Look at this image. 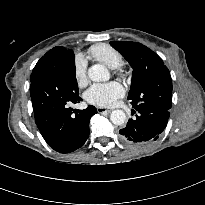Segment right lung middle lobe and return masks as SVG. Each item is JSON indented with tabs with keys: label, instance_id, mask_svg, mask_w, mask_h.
I'll list each match as a JSON object with an SVG mask.
<instances>
[{
	"label": "right lung middle lobe",
	"instance_id": "obj_1",
	"mask_svg": "<svg viewBox=\"0 0 205 205\" xmlns=\"http://www.w3.org/2000/svg\"><path fill=\"white\" fill-rule=\"evenodd\" d=\"M38 63V62H37ZM55 65L53 64V63H50V62H44V63H42V64H40L39 66H38V75L40 74V73H42L43 71H45V70H47V69H49V68H52V67H54ZM69 66H70V69L72 70V71H75V61L73 60L72 62H70L69 63ZM33 72V71H32ZM37 76V75H36Z\"/></svg>",
	"mask_w": 205,
	"mask_h": 205
}]
</instances>
